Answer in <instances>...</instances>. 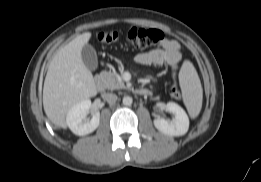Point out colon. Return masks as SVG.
Instances as JSON below:
<instances>
[{"mask_svg": "<svg viewBox=\"0 0 261 182\" xmlns=\"http://www.w3.org/2000/svg\"><path fill=\"white\" fill-rule=\"evenodd\" d=\"M126 42L134 49H146L159 46L164 41V34L157 29H146L133 27L124 34ZM98 40L105 44L117 43L121 36L115 31L100 32L97 35ZM171 97L180 98L179 91L172 86L169 90Z\"/></svg>", "mask_w": 261, "mask_h": 182, "instance_id": "1", "label": "colon"}]
</instances>
